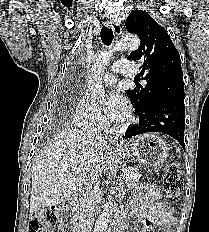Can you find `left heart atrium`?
I'll return each instance as SVG.
<instances>
[{"label":"left heart atrium","mask_w":209,"mask_h":232,"mask_svg":"<svg viewBox=\"0 0 209 232\" xmlns=\"http://www.w3.org/2000/svg\"><path fill=\"white\" fill-rule=\"evenodd\" d=\"M103 104L106 110V119L109 122L122 121L128 116V102L118 91L114 89L109 90L104 96Z\"/></svg>","instance_id":"1"}]
</instances>
